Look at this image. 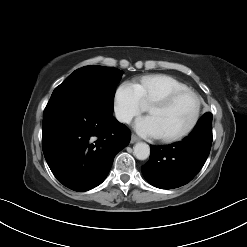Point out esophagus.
<instances>
[{
  "mask_svg": "<svg viewBox=\"0 0 247 247\" xmlns=\"http://www.w3.org/2000/svg\"><path fill=\"white\" fill-rule=\"evenodd\" d=\"M138 140H139V137L136 136L135 134H133L132 137H131V143H135Z\"/></svg>",
  "mask_w": 247,
  "mask_h": 247,
  "instance_id": "esophagus-1",
  "label": "esophagus"
}]
</instances>
